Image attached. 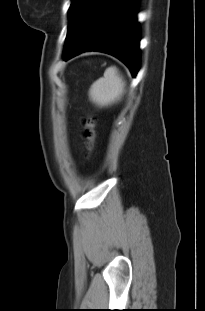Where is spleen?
Listing matches in <instances>:
<instances>
[{
	"mask_svg": "<svg viewBox=\"0 0 205 311\" xmlns=\"http://www.w3.org/2000/svg\"><path fill=\"white\" fill-rule=\"evenodd\" d=\"M124 87V81L115 66L107 68L103 77L96 80L89 89V98L98 106L116 101Z\"/></svg>",
	"mask_w": 205,
	"mask_h": 311,
	"instance_id": "3e777b00",
	"label": "spleen"
}]
</instances>
